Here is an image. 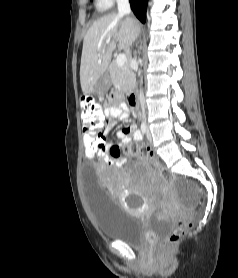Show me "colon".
<instances>
[{
	"instance_id": "obj_1",
	"label": "colon",
	"mask_w": 238,
	"mask_h": 278,
	"mask_svg": "<svg viewBox=\"0 0 238 278\" xmlns=\"http://www.w3.org/2000/svg\"><path fill=\"white\" fill-rule=\"evenodd\" d=\"M80 129L84 130V137L82 138L84 145L85 159H98L100 153L103 151V116L100 104L93 96H84L80 102ZM130 154H137L142 158L154 162L159 170L160 177L164 183L170 185H177L178 178L176 174L166 167L160 165L153 156L150 148L146 146H139L132 144L127 149ZM121 149L114 145L110 148V156L117 160L120 157ZM192 226V215L190 211L181 208L177 211V222L173 229L166 235L162 247L166 248L180 241L186 232Z\"/></svg>"
}]
</instances>
